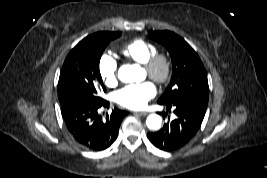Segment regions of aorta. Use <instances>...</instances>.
<instances>
[{
	"mask_svg": "<svg viewBox=\"0 0 267 178\" xmlns=\"http://www.w3.org/2000/svg\"><path fill=\"white\" fill-rule=\"evenodd\" d=\"M141 69L137 65H123L118 71V78L125 83H131L139 80ZM162 118L157 114H151L146 119V125L150 130L160 129Z\"/></svg>",
	"mask_w": 267,
	"mask_h": 178,
	"instance_id": "obj_1",
	"label": "aorta"
}]
</instances>
